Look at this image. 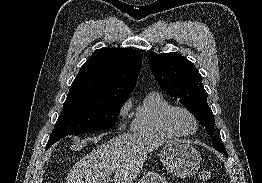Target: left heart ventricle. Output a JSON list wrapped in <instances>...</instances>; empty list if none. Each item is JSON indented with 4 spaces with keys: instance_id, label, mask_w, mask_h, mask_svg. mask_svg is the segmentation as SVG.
<instances>
[{
    "instance_id": "obj_1",
    "label": "left heart ventricle",
    "mask_w": 262,
    "mask_h": 183,
    "mask_svg": "<svg viewBox=\"0 0 262 183\" xmlns=\"http://www.w3.org/2000/svg\"><path fill=\"white\" fill-rule=\"evenodd\" d=\"M175 122L183 132H193L195 129L194 120L184 112H178L175 116Z\"/></svg>"
}]
</instances>
